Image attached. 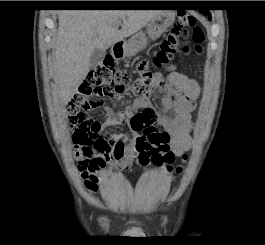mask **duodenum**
<instances>
[{"mask_svg":"<svg viewBox=\"0 0 265 245\" xmlns=\"http://www.w3.org/2000/svg\"><path fill=\"white\" fill-rule=\"evenodd\" d=\"M111 53L115 58L122 59L124 57V43L122 41L115 42L111 48Z\"/></svg>","mask_w":265,"mask_h":245,"instance_id":"1","label":"duodenum"}]
</instances>
